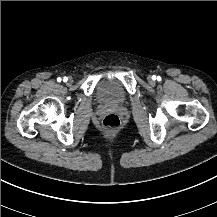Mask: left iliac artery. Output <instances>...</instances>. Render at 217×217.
<instances>
[{
  "mask_svg": "<svg viewBox=\"0 0 217 217\" xmlns=\"http://www.w3.org/2000/svg\"><path fill=\"white\" fill-rule=\"evenodd\" d=\"M159 79H160V76L157 77V80H158V81H159Z\"/></svg>",
  "mask_w": 217,
  "mask_h": 217,
  "instance_id": "left-iliac-artery-1",
  "label": "left iliac artery"
}]
</instances>
